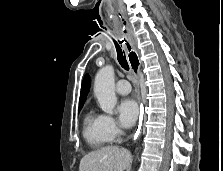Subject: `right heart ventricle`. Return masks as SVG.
Returning <instances> with one entry per match:
<instances>
[{
    "label": "right heart ventricle",
    "mask_w": 223,
    "mask_h": 171,
    "mask_svg": "<svg viewBox=\"0 0 223 171\" xmlns=\"http://www.w3.org/2000/svg\"><path fill=\"white\" fill-rule=\"evenodd\" d=\"M83 136L94 148L103 147L111 141L103 129L101 115L93 110H89L84 117Z\"/></svg>",
    "instance_id": "obj_1"
}]
</instances>
